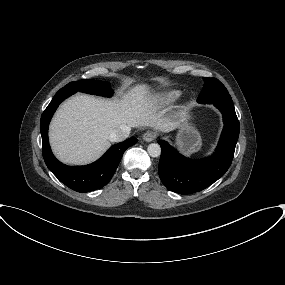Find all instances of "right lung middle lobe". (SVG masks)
Masks as SVG:
<instances>
[{"mask_svg": "<svg viewBox=\"0 0 285 285\" xmlns=\"http://www.w3.org/2000/svg\"><path fill=\"white\" fill-rule=\"evenodd\" d=\"M61 90L72 91L73 93L80 91L104 97H110L113 94V90L110 89V83L99 80H80L70 82L61 88Z\"/></svg>", "mask_w": 285, "mask_h": 285, "instance_id": "dd1d6c3e", "label": "right lung middle lobe"}]
</instances>
